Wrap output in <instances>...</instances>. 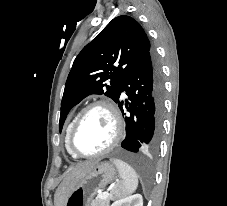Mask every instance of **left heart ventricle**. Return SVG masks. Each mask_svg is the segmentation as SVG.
<instances>
[{
  "mask_svg": "<svg viewBox=\"0 0 227 206\" xmlns=\"http://www.w3.org/2000/svg\"><path fill=\"white\" fill-rule=\"evenodd\" d=\"M114 136V124L110 113L102 107L89 111L76 132L75 148L83 154L101 151Z\"/></svg>",
  "mask_w": 227,
  "mask_h": 206,
  "instance_id": "1",
  "label": "left heart ventricle"
}]
</instances>
